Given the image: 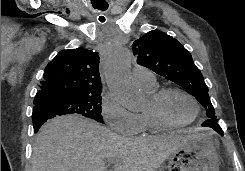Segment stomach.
I'll list each match as a JSON object with an SVG mask.
<instances>
[{
  "label": "stomach",
  "mask_w": 245,
  "mask_h": 171,
  "mask_svg": "<svg viewBox=\"0 0 245 171\" xmlns=\"http://www.w3.org/2000/svg\"><path fill=\"white\" fill-rule=\"evenodd\" d=\"M169 156V171H219L218 140L210 132L195 133ZM158 171H163L159 169Z\"/></svg>",
  "instance_id": "stomach-1"
}]
</instances>
